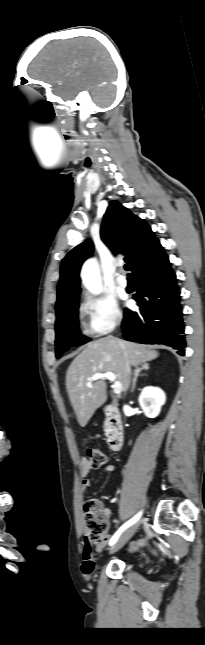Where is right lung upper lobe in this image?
Here are the masks:
<instances>
[{"mask_svg":"<svg viewBox=\"0 0 205 645\" xmlns=\"http://www.w3.org/2000/svg\"><path fill=\"white\" fill-rule=\"evenodd\" d=\"M101 238L114 254H127L133 273L165 255L163 247L151 228L117 201H111L104 215ZM93 243L85 240L63 259L57 289L56 313H60L79 297V271L91 255Z\"/></svg>","mask_w":205,"mask_h":645,"instance_id":"right-lung-upper-lobe-1","label":"right lung upper lobe"}]
</instances>
